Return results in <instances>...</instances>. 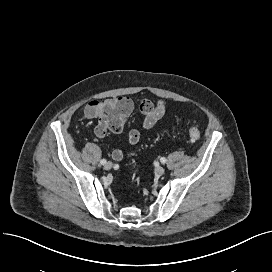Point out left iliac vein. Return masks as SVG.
Returning a JSON list of instances; mask_svg holds the SVG:
<instances>
[{
  "label": "left iliac vein",
  "mask_w": 272,
  "mask_h": 272,
  "mask_svg": "<svg viewBox=\"0 0 272 272\" xmlns=\"http://www.w3.org/2000/svg\"><path fill=\"white\" fill-rule=\"evenodd\" d=\"M165 173V169L162 166H157L155 168V174L158 176H162Z\"/></svg>",
  "instance_id": "4c4485c4"
}]
</instances>
